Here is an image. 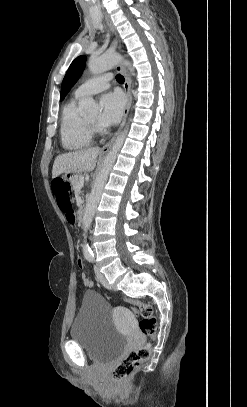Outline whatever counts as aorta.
<instances>
[{
	"label": "aorta",
	"instance_id": "obj_1",
	"mask_svg": "<svg viewBox=\"0 0 247 407\" xmlns=\"http://www.w3.org/2000/svg\"><path fill=\"white\" fill-rule=\"evenodd\" d=\"M122 62L126 67H128L131 71H133L131 67V63L127 60H124L121 55L116 53H105L99 57L92 56L89 59L88 67L92 74L97 75L101 74L118 63ZM85 109L88 112L97 111L99 110L98 104L94 101L93 98H88L85 100ZM127 128L116 138L112 148L110 149L109 153L106 155L101 168L99 169L96 180L93 184L91 193L86 201L85 212L83 216V230L84 236L87 233L90 225L92 223L97 205L100 201L104 186L107 182L110 170L115 163L117 158L118 152L120 151L124 140L126 138ZM83 247V254L85 256L90 255V248L86 242L82 245Z\"/></svg>",
	"mask_w": 247,
	"mask_h": 407
}]
</instances>
